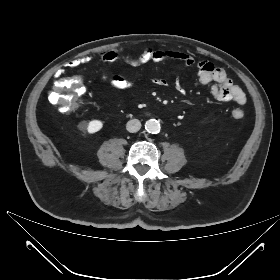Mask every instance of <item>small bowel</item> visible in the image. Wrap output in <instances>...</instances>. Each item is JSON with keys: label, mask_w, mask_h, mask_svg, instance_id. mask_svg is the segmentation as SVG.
Here are the masks:
<instances>
[{"label": "small bowel", "mask_w": 280, "mask_h": 280, "mask_svg": "<svg viewBox=\"0 0 280 280\" xmlns=\"http://www.w3.org/2000/svg\"><path fill=\"white\" fill-rule=\"evenodd\" d=\"M91 60L89 56L81 57L72 60L66 64V68L75 69L78 66L87 63ZM101 60L104 64H111L117 60H123L131 65L143 64L148 61H163V60H177L184 63L186 66H193L195 64L194 59L187 53L175 50H156L150 49L144 55L140 57H134L127 53L124 49H113L106 51L101 54ZM198 81L203 85L212 84L211 94L218 101H234L239 106H243L247 102L246 95L244 91L237 85H235L232 79L228 76L227 72L220 67L207 61H200L197 63ZM63 72L59 71V75ZM100 80L109 83L110 85L119 88L127 89L132 86V81L126 77L119 75L110 76L107 72L103 71L100 74ZM152 82L156 86H165L167 84L166 80L163 78L155 77ZM176 87L179 91L182 90L180 83H176ZM83 93V92H81ZM236 113H242L240 108L234 109L232 116L235 119Z\"/></svg>", "instance_id": "1"}]
</instances>
